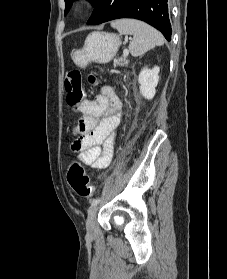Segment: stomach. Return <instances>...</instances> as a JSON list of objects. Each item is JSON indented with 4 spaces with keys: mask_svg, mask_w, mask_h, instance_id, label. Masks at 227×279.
Instances as JSON below:
<instances>
[{
    "mask_svg": "<svg viewBox=\"0 0 227 279\" xmlns=\"http://www.w3.org/2000/svg\"><path fill=\"white\" fill-rule=\"evenodd\" d=\"M121 45L118 35L106 32H93L89 34L81 49H76L72 59L79 67H86L95 62L105 64L110 62Z\"/></svg>",
    "mask_w": 227,
    "mask_h": 279,
    "instance_id": "1",
    "label": "stomach"
}]
</instances>
